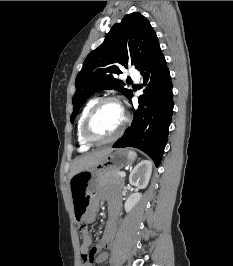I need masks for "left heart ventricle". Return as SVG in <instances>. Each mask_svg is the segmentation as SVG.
Segmentation results:
<instances>
[{"instance_id": "left-heart-ventricle-1", "label": "left heart ventricle", "mask_w": 233, "mask_h": 266, "mask_svg": "<svg viewBox=\"0 0 233 266\" xmlns=\"http://www.w3.org/2000/svg\"><path fill=\"white\" fill-rule=\"evenodd\" d=\"M123 119L124 112L118 104L106 103L95 114L90 127L91 133L99 139L108 138L119 129Z\"/></svg>"}]
</instances>
